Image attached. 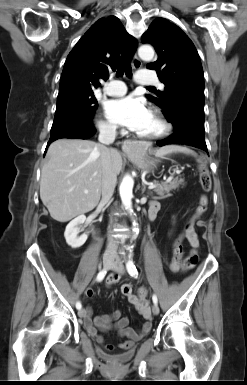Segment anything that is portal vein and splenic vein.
Masks as SVG:
<instances>
[{
    "mask_svg": "<svg viewBox=\"0 0 247 385\" xmlns=\"http://www.w3.org/2000/svg\"><path fill=\"white\" fill-rule=\"evenodd\" d=\"M179 172L180 171L177 169L176 173H179ZM155 187H156V184H150L148 188L151 190V189H154ZM84 193H88V190H85Z\"/></svg>",
    "mask_w": 247,
    "mask_h": 385,
    "instance_id": "obj_1",
    "label": "portal vein and splenic vein"
}]
</instances>
